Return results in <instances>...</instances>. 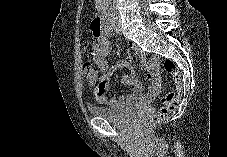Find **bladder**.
Returning <instances> with one entry per match:
<instances>
[{
  "label": "bladder",
  "instance_id": "bladder-1",
  "mask_svg": "<svg viewBox=\"0 0 227 157\" xmlns=\"http://www.w3.org/2000/svg\"><path fill=\"white\" fill-rule=\"evenodd\" d=\"M90 112L92 115L105 119L114 125L126 126L141 116L144 109L141 106L131 104L118 108L92 106Z\"/></svg>",
  "mask_w": 227,
  "mask_h": 157
}]
</instances>
